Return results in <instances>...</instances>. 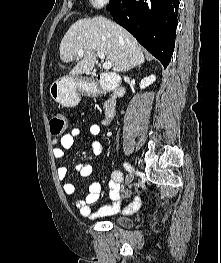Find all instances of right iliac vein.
Instances as JSON below:
<instances>
[{"label": "right iliac vein", "mask_w": 221, "mask_h": 263, "mask_svg": "<svg viewBox=\"0 0 221 263\" xmlns=\"http://www.w3.org/2000/svg\"><path fill=\"white\" fill-rule=\"evenodd\" d=\"M132 179H133V171L130 172V175L127 178V183H130L132 181Z\"/></svg>", "instance_id": "63e3f726"}]
</instances>
